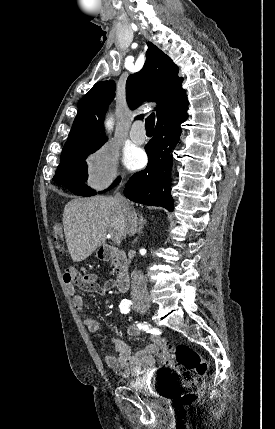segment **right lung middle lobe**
Here are the masks:
<instances>
[{"instance_id": "dd1d6c3e", "label": "right lung middle lobe", "mask_w": 275, "mask_h": 429, "mask_svg": "<svg viewBox=\"0 0 275 429\" xmlns=\"http://www.w3.org/2000/svg\"><path fill=\"white\" fill-rule=\"evenodd\" d=\"M96 150L88 151L82 155L62 158L53 180L67 186L76 195H95L96 192L84 183L88 178L87 163L85 160L88 155ZM117 183L118 180L110 188H113Z\"/></svg>"}]
</instances>
